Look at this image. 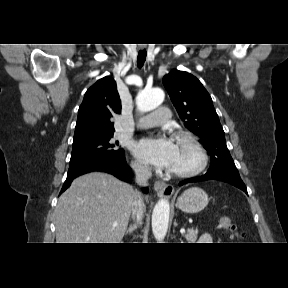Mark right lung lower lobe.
Wrapping results in <instances>:
<instances>
[{
  "mask_svg": "<svg viewBox=\"0 0 288 288\" xmlns=\"http://www.w3.org/2000/svg\"><path fill=\"white\" fill-rule=\"evenodd\" d=\"M91 171H104L121 180H130L132 177L131 169L127 165L125 157L121 159H114L107 156L90 157L70 163L67 178L60 194L70 186L74 178ZM144 192H147V188H144Z\"/></svg>",
  "mask_w": 288,
  "mask_h": 288,
  "instance_id": "98d812e1",
  "label": "right lung lower lobe"
}]
</instances>
